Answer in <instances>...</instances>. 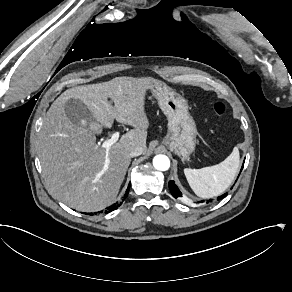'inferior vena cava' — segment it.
I'll list each match as a JSON object with an SVG mask.
<instances>
[{
	"label": "inferior vena cava",
	"mask_w": 292,
	"mask_h": 292,
	"mask_svg": "<svg viewBox=\"0 0 292 292\" xmlns=\"http://www.w3.org/2000/svg\"><path fill=\"white\" fill-rule=\"evenodd\" d=\"M143 153V148L142 147H134L132 148L130 152V157H136L139 156Z\"/></svg>",
	"instance_id": "inferior-vena-cava-1"
}]
</instances>
